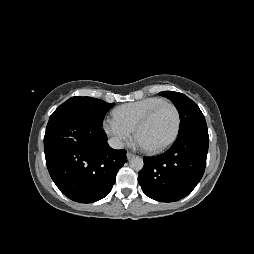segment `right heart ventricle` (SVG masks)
I'll return each mask as SVG.
<instances>
[{
  "label": "right heart ventricle",
  "mask_w": 254,
  "mask_h": 254,
  "mask_svg": "<svg viewBox=\"0 0 254 254\" xmlns=\"http://www.w3.org/2000/svg\"><path fill=\"white\" fill-rule=\"evenodd\" d=\"M166 101L160 97H148L138 101L129 102L118 106L114 116L127 126L135 129L139 121L154 107Z\"/></svg>",
  "instance_id": "right-heart-ventricle-1"
}]
</instances>
